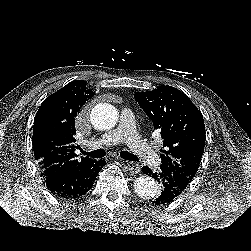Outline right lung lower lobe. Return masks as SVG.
Segmentation results:
<instances>
[{
  "label": "right lung lower lobe",
  "mask_w": 251,
  "mask_h": 251,
  "mask_svg": "<svg viewBox=\"0 0 251 251\" xmlns=\"http://www.w3.org/2000/svg\"><path fill=\"white\" fill-rule=\"evenodd\" d=\"M105 164V160L101 159L81 167L67 169L61 174L45 178V184L57 196L79 197L90 190L98 172Z\"/></svg>",
  "instance_id": "right-lung-lower-lobe-1"
}]
</instances>
